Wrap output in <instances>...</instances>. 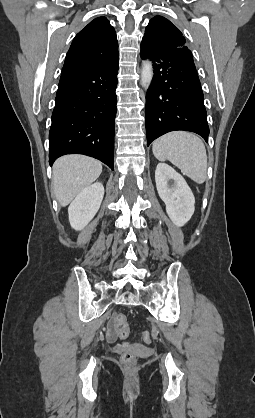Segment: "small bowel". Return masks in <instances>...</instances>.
I'll use <instances>...</instances> for the list:
<instances>
[{"mask_svg":"<svg viewBox=\"0 0 255 418\" xmlns=\"http://www.w3.org/2000/svg\"><path fill=\"white\" fill-rule=\"evenodd\" d=\"M107 337L109 340L113 341L117 337V331L114 326V323H110L107 329Z\"/></svg>","mask_w":255,"mask_h":418,"instance_id":"small-bowel-1","label":"small bowel"}]
</instances>
